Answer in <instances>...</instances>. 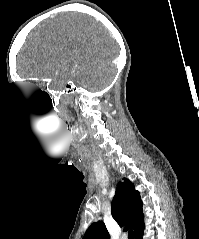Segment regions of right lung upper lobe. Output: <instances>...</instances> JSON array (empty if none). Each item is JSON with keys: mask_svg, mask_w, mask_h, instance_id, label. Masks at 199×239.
I'll return each mask as SVG.
<instances>
[{"mask_svg": "<svg viewBox=\"0 0 199 239\" xmlns=\"http://www.w3.org/2000/svg\"><path fill=\"white\" fill-rule=\"evenodd\" d=\"M119 182L111 205V213L116 222L126 229L134 231L144 222L143 203L134 184L127 178ZM83 239H110L103 221L93 223L86 231Z\"/></svg>", "mask_w": 199, "mask_h": 239, "instance_id": "1", "label": "right lung upper lobe"}]
</instances>
